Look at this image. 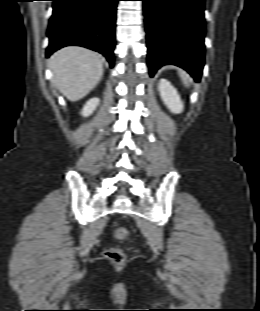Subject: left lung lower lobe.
<instances>
[{
	"mask_svg": "<svg viewBox=\"0 0 260 311\" xmlns=\"http://www.w3.org/2000/svg\"><path fill=\"white\" fill-rule=\"evenodd\" d=\"M149 74L174 64L200 80L204 65L205 0H142Z\"/></svg>",
	"mask_w": 260,
	"mask_h": 311,
	"instance_id": "obj_1",
	"label": "left lung lower lobe"
}]
</instances>
